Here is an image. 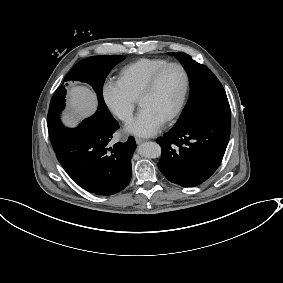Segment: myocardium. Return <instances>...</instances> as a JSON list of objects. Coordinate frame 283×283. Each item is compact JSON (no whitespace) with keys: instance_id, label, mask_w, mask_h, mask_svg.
Masks as SVG:
<instances>
[{"instance_id":"myocardium-1","label":"myocardium","mask_w":283,"mask_h":283,"mask_svg":"<svg viewBox=\"0 0 283 283\" xmlns=\"http://www.w3.org/2000/svg\"><path fill=\"white\" fill-rule=\"evenodd\" d=\"M178 67L181 69L182 73H183V76H184V87H183V91H182V94L178 100V103L176 105V107L174 108V110L164 119V122H169V121H172L173 119H175L179 114L180 112L182 111L183 109V106H184V103H185V100H186V97H187V94H188V91H189V86H190V76H189V73H188V70L186 69V67L179 63V62H169L165 65H163L162 67H160L159 69H157L155 72H153L151 74V76L147 79L139 97H138V104L140 105V102L146 98L147 96H149L158 80L160 79V77L163 75V73L169 69L170 67Z\"/></svg>"}]
</instances>
